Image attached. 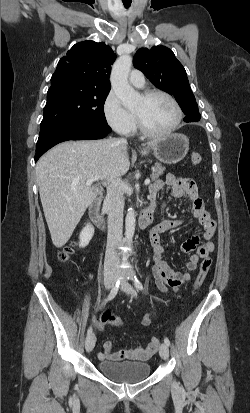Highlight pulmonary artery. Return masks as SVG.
Segmentation results:
<instances>
[{
  "label": "pulmonary artery",
  "mask_w": 250,
  "mask_h": 413,
  "mask_svg": "<svg viewBox=\"0 0 250 413\" xmlns=\"http://www.w3.org/2000/svg\"><path fill=\"white\" fill-rule=\"evenodd\" d=\"M129 82L135 87H143L145 83L143 73L140 70L133 69L129 75Z\"/></svg>",
  "instance_id": "obj_1"
}]
</instances>
